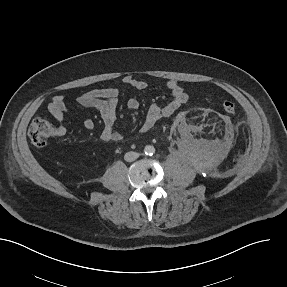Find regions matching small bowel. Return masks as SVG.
Here are the masks:
<instances>
[{
	"label": "small bowel",
	"instance_id": "obj_1",
	"mask_svg": "<svg viewBox=\"0 0 287 287\" xmlns=\"http://www.w3.org/2000/svg\"><path fill=\"white\" fill-rule=\"evenodd\" d=\"M122 82L123 84L131 86L137 90H144L147 87V83L145 81L129 75L123 77ZM166 89L171 95L170 101L163 106L153 104L148 108L145 118L140 126V130L142 132L152 129L160 119L172 116L188 101V94L179 81L169 80L166 83ZM119 97V87L111 86L81 93L75 99L78 105L94 108L99 111L103 121V129L101 131L100 138L104 142H121L123 140V135L115 130ZM139 106V101L136 98H130L127 101V107L131 110H137ZM48 111L58 122L56 134L63 135L66 131L64 126L65 115L70 112L64 96L57 95L53 97L48 104ZM83 126L88 130H92L95 124L92 119L84 118Z\"/></svg>",
	"mask_w": 287,
	"mask_h": 287
}]
</instances>
